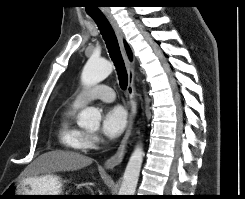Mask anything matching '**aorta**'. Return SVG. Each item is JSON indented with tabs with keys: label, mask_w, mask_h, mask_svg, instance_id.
<instances>
[{
	"label": "aorta",
	"mask_w": 245,
	"mask_h": 199,
	"mask_svg": "<svg viewBox=\"0 0 245 199\" xmlns=\"http://www.w3.org/2000/svg\"><path fill=\"white\" fill-rule=\"evenodd\" d=\"M113 71V64L107 60L91 57L83 68L81 81L85 86H92L106 79ZM100 111L93 107L85 108L78 116L77 123L84 128H98ZM144 150L137 145L127 163L119 195H134L143 162Z\"/></svg>",
	"instance_id": "1"
}]
</instances>
